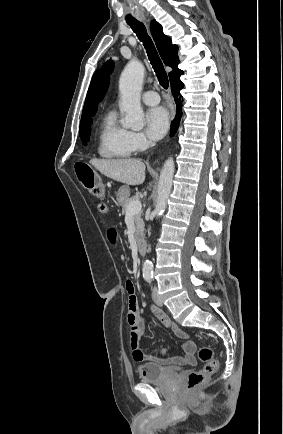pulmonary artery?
Instances as JSON below:
<instances>
[{
	"label": "pulmonary artery",
	"mask_w": 283,
	"mask_h": 434,
	"mask_svg": "<svg viewBox=\"0 0 283 434\" xmlns=\"http://www.w3.org/2000/svg\"><path fill=\"white\" fill-rule=\"evenodd\" d=\"M142 100L147 105H157L160 101V98L155 91H146L142 95Z\"/></svg>",
	"instance_id": "1"
}]
</instances>
